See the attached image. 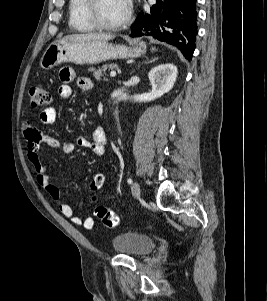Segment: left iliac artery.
<instances>
[{"mask_svg": "<svg viewBox=\"0 0 267 301\" xmlns=\"http://www.w3.org/2000/svg\"><path fill=\"white\" fill-rule=\"evenodd\" d=\"M127 182H128V184H131V183H132V179L129 178V179L127 180Z\"/></svg>", "mask_w": 267, "mask_h": 301, "instance_id": "obj_1", "label": "left iliac artery"}]
</instances>
